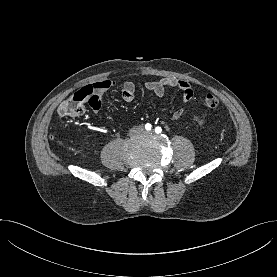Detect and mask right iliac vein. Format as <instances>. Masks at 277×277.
Masks as SVG:
<instances>
[{"instance_id": "1", "label": "right iliac vein", "mask_w": 277, "mask_h": 277, "mask_svg": "<svg viewBox=\"0 0 277 277\" xmlns=\"http://www.w3.org/2000/svg\"><path fill=\"white\" fill-rule=\"evenodd\" d=\"M140 133H141V128H135V129L131 130L130 135H131L132 137H136V136H138Z\"/></svg>"}]
</instances>
